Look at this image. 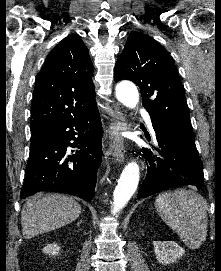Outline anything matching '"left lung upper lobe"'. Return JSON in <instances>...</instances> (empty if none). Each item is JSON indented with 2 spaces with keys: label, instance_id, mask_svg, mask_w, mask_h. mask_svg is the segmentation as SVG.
<instances>
[{
  "label": "left lung upper lobe",
  "instance_id": "1",
  "mask_svg": "<svg viewBox=\"0 0 221 271\" xmlns=\"http://www.w3.org/2000/svg\"><path fill=\"white\" fill-rule=\"evenodd\" d=\"M139 86L151 120L194 140L183 85L167 50L146 34L132 33L116 65L114 80Z\"/></svg>",
  "mask_w": 221,
  "mask_h": 271
}]
</instances>
